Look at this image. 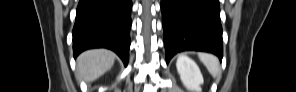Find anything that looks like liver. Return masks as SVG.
Instances as JSON below:
<instances>
[{
    "mask_svg": "<svg viewBox=\"0 0 296 92\" xmlns=\"http://www.w3.org/2000/svg\"><path fill=\"white\" fill-rule=\"evenodd\" d=\"M115 54L107 49H92L77 58L76 76L92 82L106 73L114 64Z\"/></svg>",
    "mask_w": 296,
    "mask_h": 92,
    "instance_id": "6515ba94",
    "label": "liver"
}]
</instances>
